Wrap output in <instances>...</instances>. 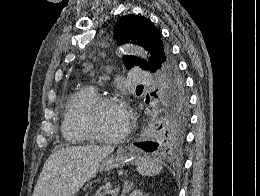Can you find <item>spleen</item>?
Listing matches in <instances>:
<instances>
[{"label": "spleen", "mask_w": 260, "mask_h": 196, "mask_svg": "<svg viewBox=\"0 0 260 196\" xmlns=\"http://www.w3.org/2000/svg\"><path fill=\"white\" fill-rule=\"evenodd\" d=\"M138 172L142 176H158L162 170V162L158 158L139 156L137 160Z\"/></svg>", "instance_id": "obj_1"}]
</instances>
